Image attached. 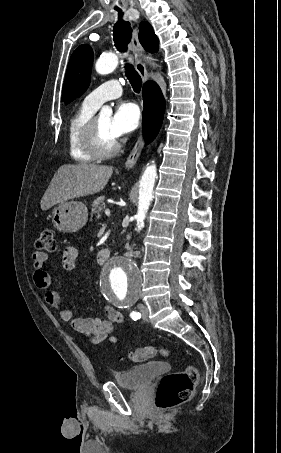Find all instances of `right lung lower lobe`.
<instances>
[{
    "label": "right lung lower lobe",
    "mask_w": 281,
    "mask_h": 453,
    "mask_svg": "<svg viewBox=\"0 0 281 453\" xmlns=\"http://www.w3.org/2000/svg\"><path fill=\"white\" fill-rule=\"evenodd\" d=\"M143 134L147 143L157 135L163 120L165 100L159 86L148 81L143 86Z\"/></svg>",
    "instance_id": "obj_1"
}]
</instances>
